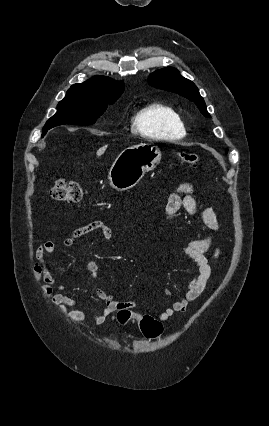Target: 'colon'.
Returning <instances> with one entry per match:
<instances>
[{"mask_svg":"<svg viewBox=\"0 0 269 426\" xmlns=\"http://www.w3.org/2000/svg\"><path fill=\"white\" fill-rule=\"evenodd\" d=\"M179 159L183 164L196 166L198 156L193 152L182 151ZM50 196L57 202H79L83 197L80 184L76 181L57 180L50 190ZM131 312L127 308L119 309L117 314L120 323H125L131 318ZM143 334L148 338H157L163 330L162 323L150 315H143L139 321Z\"/></svg>","mask_w":269,"mask_h":426,"instance_id":"5ec220e1","label":"colon"}]
</instances>
